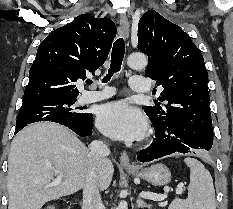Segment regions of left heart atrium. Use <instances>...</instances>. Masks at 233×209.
I'll return each mask as SVG.
<instances>
[{
  "label": "left heart atrium",
  "mask_w": 233,
  "mask_h": 209,
  "mask_svg": "<svg viewBox=\"0 0 233 209\" xmlns=\"http://www.w3.org/2000/svg\"><path fill=\"white\" fill-rule=\"evenodd\" d=\"M97 125L104 134L122 140L138 139L146 130V121L141 112L123 100L101 106Z\"/></svg>",
  "instance_id": "obj_1"
}]
</instances>
